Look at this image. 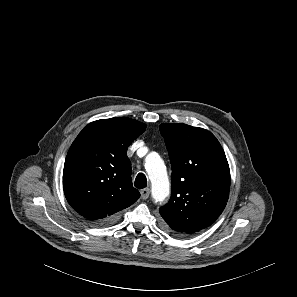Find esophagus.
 Wrapping results in <instances>:
<instances>
[{
	"instance_id": "34e87169",
	"label": "esophagus",
	"mask_w": 297,
	"mask_h": 297,
	"mask_svg": "<svg viewBox=\"0 0 297 297\" xmlns=\"http://www.w3.org/2000/svg\"><path fill=\"white\" fill-rule=\"evenodd\" d=\"M140 193H141V198L142 199H147L148 197H149V195H150V189L149 188H144V189H142L141 191H140Z\"/></svg>"
}]
</instances>
